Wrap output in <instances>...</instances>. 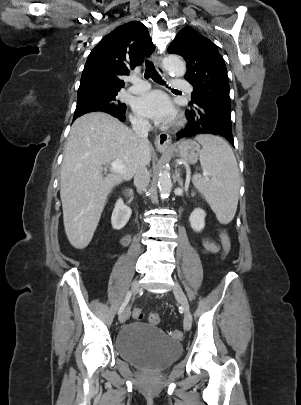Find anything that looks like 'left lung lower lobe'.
Masks as SVG:
<instances>
[{
	"label": "left lung lower lobe",
	"mask_w": 301,
	"mask_h": 405,
	"mask_svg": "<svg viewBox=\"0 0 301 405\" xmlns=\"http://www.w3.org/2000/svg\"><path fill=\"white\" fill-rule=\"evenodd\" d=\"M188 125L177 133V140L200 134H213L224 137L234 147L231 110L209 103H200L186 111Z\"/></svg>",
	"instance_id": "obj_1"
}]
</instances>
